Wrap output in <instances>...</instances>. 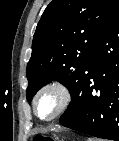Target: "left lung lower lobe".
Instances as JSON below:
<instances>
[{
  "label": "left lung lower lobe",
  "instance_id": "0a47b994",
  "mask_svg": "<svg viewBox=\"0 0 119 141\" xmlns=\"http://www.w3.org/2000/svg\"><path fill=\"white\" fill-rule=\"evenodd\" d=\"M59 121L91 136L119 141V11L99 36L86 73Z\"/></svg>",
  "mask_w": 119,
  "mask_h": 141
}]
</instances>
